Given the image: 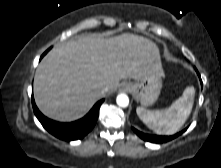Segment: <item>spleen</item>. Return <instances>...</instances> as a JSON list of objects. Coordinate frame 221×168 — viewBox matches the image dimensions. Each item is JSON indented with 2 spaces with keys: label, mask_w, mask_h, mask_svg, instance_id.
<instances>
[{
  "label": "spleen",
  "mask_w": 221,
  "mask_h": 168,
  "mask_svg": "<svg viewBox=\"0 0 221 168\" xmlns=\"http://www.w3.org/2000/svg\"><path fill=\"white\" fill-rule=\"evenodd\" d=\"M195 89L187 87L182 96L164 110H146L137 107L136 112L143 123L155 133L172 135L180 130L189 117L194 103Z\"/></svg>",
  "instance_id": "3e777b00"
}]
</instances>
